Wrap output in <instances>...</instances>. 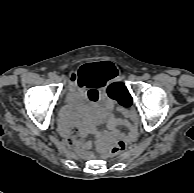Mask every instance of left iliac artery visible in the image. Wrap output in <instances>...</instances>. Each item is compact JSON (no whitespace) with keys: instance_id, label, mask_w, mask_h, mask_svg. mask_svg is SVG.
I'll return each mask as SVG.
<instances>
[{"instance_id":"obj_1","label":"left iliac artery","mask_w":194,"mask_h":193,"mask_svg":"<svg viewBox=\"0 0 194 193\" xmlns=\"http://www.w3.org/2000/svg\"><path fill=\"white\" fill-rule=\"evenodd\" d=\"M143 77H144V79H145V80H147V79H149V78H150V74L145 73Z\"/></svg>"}]
</instances>
